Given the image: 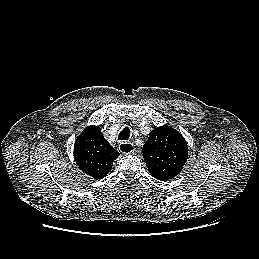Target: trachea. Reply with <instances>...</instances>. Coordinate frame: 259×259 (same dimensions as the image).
<instances>
[{
	"label": "trachea",
	"mask_w": 259,
	"mask_h": 259,
	"mask_svg": "<svg viewBox=\"0 0 259 259\" xmlns=\"http://www.w3.org/2000/svg\"><path fill=\"white\" fill-rule=\"evenodd\" d=\"M130 137V129L128 127L123 128V130L120 132L118 139L120 141L122 140H128Z\"/></svg>",
	"instance_id": "trachea-1"
}]
</instances>
